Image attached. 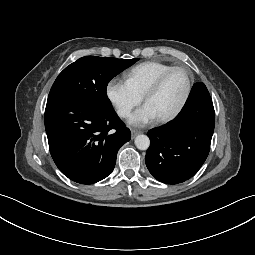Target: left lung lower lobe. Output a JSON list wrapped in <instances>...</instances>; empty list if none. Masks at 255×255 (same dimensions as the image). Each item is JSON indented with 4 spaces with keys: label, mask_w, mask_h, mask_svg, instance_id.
Masks as SVG:
<instances>
[{
    "label": "left lung lower lobe",
    "mask_w": 255,
    "mask_h": 255,
    "mask_svg": "<svg viewBox=\"0 0 255 255\" xmlns=\"http://www.w3.org/2000/svg\"><path fill=\"white\" fill-rule=\"evenodd\" d=\"M214 125L210 94L204 83H195L176 118L148 132L145 162L153 177L178 184L194 176L209 154Z\"/></svg>",
    "instance_id": "left-lung-lower-lobe-1"
}]
</instances>
